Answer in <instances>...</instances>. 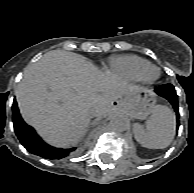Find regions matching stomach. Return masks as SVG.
<instances>
[{"label": "stomach", "mask_w": 194, "mask_h": 193, "mask_svg": "<svg viewBox=\"0 0 194 193\" xmlns=\"http://www.w3.org/2000/svg\"><path fill=\"white\" fill-rule=\"evenodd\" d=\"M120 110L133 119H145L154 108L155 98L147 89H141L138 93L125 97L116 102Z\"/></svg>", "instance_id": "0dacf381"}]
</instances>
